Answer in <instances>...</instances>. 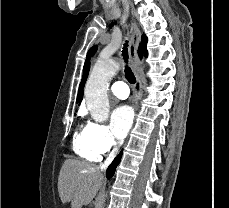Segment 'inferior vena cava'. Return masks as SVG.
<instances>
[{"label": "inferior vena cava", "mask_w": 229, "mask_h": 208, "mask_svg": "<svg viewBox=\"0 0 229 208\" xmlns=\"http://www.w3.org/2000/svg\"><path fill=\"white\" fill-rule=\"evenodd\" d=\"M112 160H113V156H109V158H107L105 162V166H107V164H111Z\"/></svg>", "instance_id": "inferior-vena-cava-1"}]
</instances>
